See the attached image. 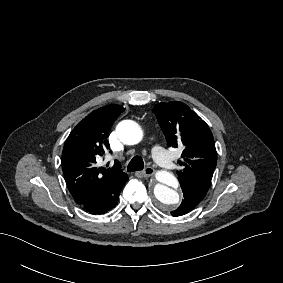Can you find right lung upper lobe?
I'll return each mask as SVG.
<instances>
[{
  "label": "right lung upper lobe",
  "mask_w": 283,
  "mask_h": 283,
  "mask_svg": "<svg viewBox=\"0 0 283 283\" xmlns=\"http://www.w3.org/2000/svg\"><path fill=\"white\" fill-rule=\"evenodd\" d=\"M124 111L120 105H107L86 116L72 130L62 153L63 174L76 203L101 195L126 177L118 161L112 168H97L96 158L109 148L106 139L116 118Z\"/></svg>",
  "instance_id": "1"
}]
</instances>
